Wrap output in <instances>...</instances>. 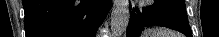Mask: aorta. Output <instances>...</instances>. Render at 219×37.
Returning a JSON list of instances; mask_svg holds the SVG:
<instances>
[{
    "instance_id": "aorta-1",
    "label": "aorta",
    "mask_w": 219,
    "mask_h": 37,
    "mask_svg": "<svg viewBox=\"0 0 219 37\" xmlns=\"http://www.w3.org/2000/svg\"><path fill=\"white\" fill-rule=\"evenodd\" d=\"M130 19L128 0H116L111 12V32L113 37H121Z\"/></svg>"
}]
</instances>
